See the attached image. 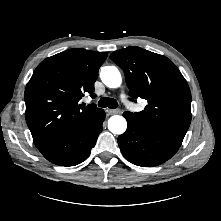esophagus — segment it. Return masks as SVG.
<instances>
[{"label": "esophagus", "instance_id": "esophagus-1", "mask_svg": "<svg viewBox=\"0 0 221 221\" xmlns=\"http://www.w3.org/2000/svg\"><path fill=\"white\" fill-rule=\"evenodd\" d=\"M107 112L111 115L120 113L119 109H107Z\"/></svg>", "mask_w": 221, "mask_h": 221}]
</instances>
